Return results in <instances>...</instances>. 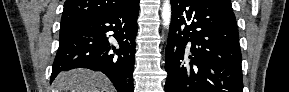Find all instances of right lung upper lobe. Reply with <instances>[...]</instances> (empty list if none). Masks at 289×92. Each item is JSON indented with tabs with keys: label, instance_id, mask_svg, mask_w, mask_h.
I'll use <instances>...</instances> for the list:
<instances>
[{
	"label": "right lung upper lobe",
	"instance_id": "obj_1",
	"mask_svg": "<svg viewBox=\"0 0 289 92\" xmlns=\"http://www.w3.org/2000/svg\"><path fill=\"white\" fill-rule=\"evenodd\" d=\"M135 0H66L61 26L77 25L80 22L124 8Z\"/></svg>",
	"mask_w": 289,
	"mask_h": 92
}]
</instances>
